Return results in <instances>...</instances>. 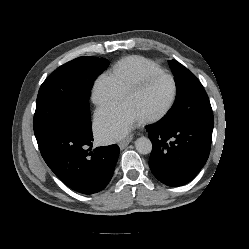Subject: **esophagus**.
<instances>
[{
  "label": "esophagus",
  "instance_id": "34e87169",
  "mask_svg": "<svg viewBox=\"0 0 249 249\" xmlns=\"http://www.w3.org/2000/svg\"><path fill=\"white\" fill-rule=\"evenodd\" d=\"M132 140H133V136L130 135L126 139L119 142L118 145H119L120 149H124Z\"/></svg>",
  "mask_w": 249,
  "mask_h": 249
}]
</instances>
